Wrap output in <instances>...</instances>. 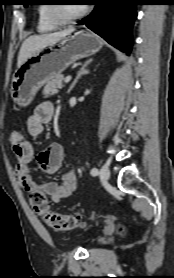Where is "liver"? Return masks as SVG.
Segmentation results:
<instances>
[{
    "mask_svg": "<svg viewBox=\"0 0 174 278\" xmlns=\"http://www.w3.org/2000/svg\"><path fill=\"white\" fill-rule=\"evenodd\" d=\"M74 30V27H69L65 30L54 33L33 35L28 37L21 45L18 55L17 67L24 63L36 50L46 45L56 43L61 38L70 35L72 32H74Z\"/></svg>",
    "mask_w": 174,
    "mask_h": 278,
    "instance_id": "obj_1",
    "label": "liver"
}]
</instances>
